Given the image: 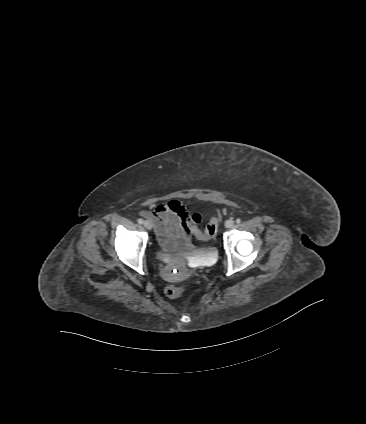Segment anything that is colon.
Segmentation results:
<instances>
[{
	"mask_svg": "<svg viewBox=\"0 0 366 424\" xmlns=\"http://www.w3.org/2000/svg\"><path fill=\"white\" fill-rule=\"evenodd\" d=\"M201 220V216L198 213L186 215L183 223L187 233L189 235L193 234L200 240H208L213 238L217 232L220 219L217 217L212 218L204 229H200L199 227ZM186 291L187 288L183 284H172L169 285L166 289L167 295L171 298L180 297L184 295Z\"/></svg>",
	"mask_w": 366,
	"mask_h": 424,
	"instance_id": "colon-1",
	"label": "colon"
}]
</instances>
